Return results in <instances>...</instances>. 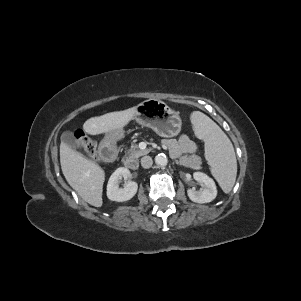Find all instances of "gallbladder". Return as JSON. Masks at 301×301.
Segmentation results:
<instances>
[{"label": "gallbladder", "mask_w": 301, "mask_h": 301, "mask_svg": "<svg viewBox=\"0 0 301 301\" xmlns=\"http://www.w3.org/2000/svg\"><path fill=\"white\" fill-rule=\"evenodd\" d=\"M61 141L66 143L71 148H79L80 143L73 132L65 131L61 135Z\"/></svg>", "instance_id": "gallbladder-1"}]
</instances>
